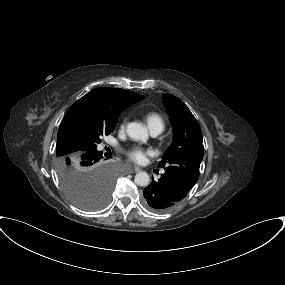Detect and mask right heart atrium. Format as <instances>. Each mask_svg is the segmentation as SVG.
Wrapping results in <instances>:
<instances>
[{
  "instance_id": "right-heart-atrium-1",
  "label": "right heart atrium",
  "mask_w": 285,
  "mask_h": 285,
  "mask_svg": "<svg viewBox=\"0 0 285 285\" xmlns=\"http://www.w3.org/2000/svg\"><path fill=\"white\" fill-rule=\"evenodd\" d=\"M126 124H127V119L125 118L120 122L119 129L123 131L126 127Z\"/></svg>"
}]
</instances>
